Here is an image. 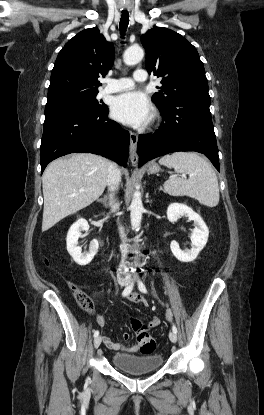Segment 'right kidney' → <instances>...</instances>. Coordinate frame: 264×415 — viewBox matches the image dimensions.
<instances>
[{
    "label": "right kidney",
    "mask_w": 264,
    "mask_h": 415,
    "mask_svg": "<svg viewBox=\"0 0 264 415\" xmlns=\"http://www.w3.org/2000/svg\"><path fill=\"white\" fill-rule=\"evenodd\" d=\"M88 229V222L84 218H80L70 227L66 238L68 253L81 266L88 265L92 261L99 247L98 241L94 239L90 243L89 252L82 253L78 239L81 236V231H88Z\"/></svg>",
    "instance_id": "ca27d5eb"
}]
</instances>
